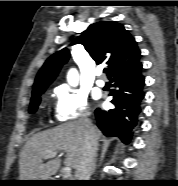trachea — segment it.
I'll list each match as a JSON object with an SVG mask.
<instances>
[{"instance_id":"trachea-1","label":"trachea","mask_w":178,"mask_h":186,"mask_svg":"<svg viewBox=\"0 0 178 186\" xmlns=\"http://www.w3.org/2000/svg\"><path fill=\"white\" fill-rule=\"evenodd\" d=\"M103 72H104V73H107V69H104Z\"/></svg>"}]
</instances>
